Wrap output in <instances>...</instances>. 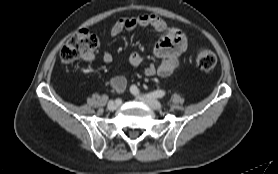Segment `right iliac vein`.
<instances>
[{"label":"right iliac vein","mask_w":278,"mask_h":174,"mask_svg":"<svg viewBox=\"0 0 278 174\" xmlns=\"http://www.w3.org/2000/svg\"><path fill=\"white\" fill-rule=\"evenodd\" d=\"M120 104H118L117 102H114V101H109L108 102V105H107V108L110 110V111H114L116 110L118 107H119Z\"/></svg>","instance_id":"obj_1"}]
</instances>
